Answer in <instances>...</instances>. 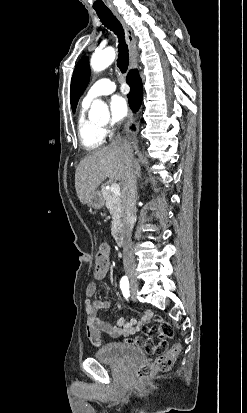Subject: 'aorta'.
Returning <instances> with one entry per match:
<instances>
[{"label": "aorta", "mask_w": 247, "mask_h": 413, "mask_svg": "<svg viewBox=\"0 0 247 413\" xmlns=\"http://www.w3.org/2000/svg\"><path fill=\"white\" fill-rule=\"evenodd\" d=\"M115 56V50L111 47L106 48L102 51L95 52L91 57V68L95 72H100L112 64V62L115 59ZM108 115V107L104 102L100 100L93 101L89 112V116L91 118L106 117Z\"/></svg>", "instance_id": "obj_1"}]
</instances>
